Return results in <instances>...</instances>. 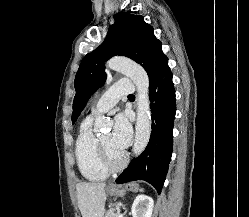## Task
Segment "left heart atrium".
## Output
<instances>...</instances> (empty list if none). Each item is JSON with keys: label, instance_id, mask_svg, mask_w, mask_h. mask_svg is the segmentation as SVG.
Returning <instances> with one entry per match:
<instances>
[{"label": "left heart atrium", "instance_id": "obj_1", "mask_svg": "<svg viewBox=\"0 0 249 217\" xmlns=\"http://www.w3.org/2000/svg\"><path fill=\"white\" fill-rule=\"evenodd\" d=\"M131 126L124 114H118L115 117L113 131L110 135V144L113 148L122 151L130 141Z\"/></svg>", "mask_w": 249, "mask_h": 217}]
</instances>
